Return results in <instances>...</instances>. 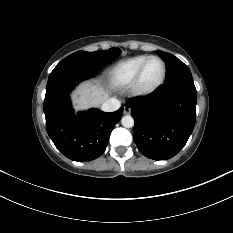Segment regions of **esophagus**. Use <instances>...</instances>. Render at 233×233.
<instances>
[{"label": "esophagus", "mask_w": 233, "mask_h": 233, "mask_svg": "<svg viewBox=\"0 0 233 233\" xmlns=\"http://www.w3.org/2000/svg\"><path fill=\"white\" fill-rule=\"evenodd\" d=\"M123 109H124V114L127 115V114H130V113H131V108H130V107L124 106Z\"/></svg>", "instance_id": "1"}]
</instances>
